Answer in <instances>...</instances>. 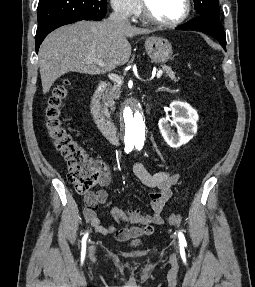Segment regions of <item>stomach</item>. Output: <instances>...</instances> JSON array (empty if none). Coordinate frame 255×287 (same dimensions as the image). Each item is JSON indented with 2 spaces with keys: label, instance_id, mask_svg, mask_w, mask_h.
<instances>
[{
  "label": "stomach",
  "instance_id": "obj_1",
  "mask_svg": "<svg viewBox=\"0 0 255 287\" xmlns=\"http://www.w3.org/2000/svg\"><path fill=\"white\" fill-rule=\"evenodd\" d=\"M145 50L151 62L155 64H165L173 54L172 44L166 38H158V36L146 38Z\"/></svg>",
  "mask_w": 255,
  "mask_h": 287
}]
</instances>
